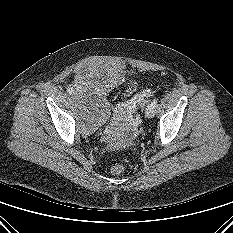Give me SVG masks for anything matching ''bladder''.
I'll use <instances>...</instances> for the list:
<instances>
[{"label": "bladder", "instance_id": "1", "mask_svg": "<svg viewBox=\"0 0 233 233\" xmlns=\"http://www.w3.org/2000/svg\"><path fill=\"white\" fill-rule=\"evenodd\" d=\"M123 80L124 72L116 66L94 62L79 69L73 89L81 127L86 133L94 132L108 120L107 96Z\"/></svg>", "mask_w": 233, "mask_h": 233}]
</instances>
